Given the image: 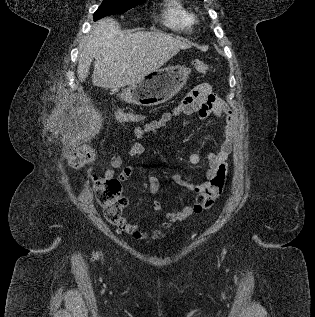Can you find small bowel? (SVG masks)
Instances as JSON below:
<instances>
[{
	"instance_id": "1",
	"label": "small bowel",
	"mask_w": 315,
	"mask_h": 317,
	"mask_svg": "<svg viewBox=\"0 0 315 317\" xmlns=\"http://www.w3.org/2000/svg\"><path fill=\"white\" fill-rule=\"evenodd\" d=\"M214 114L224 120L223 141L220 149L216 153H210L207 157L209 168L206 179L202 183H193L179 174L173 175V181L180 187L196 193L195 201L192 205L180 210L169 211L165 215V220L161 226L151 232L140 229L137 224L128 223L125 220L119 225L121 231L131 235L136 240L159 241L164 239L170 232L173 223L187 219L188 217L200 214L210 209L216 198L221 194L226 178L228 164L227 159L232 151L233 138L235 134V120L230 108L213 92L211 85L204 83L194 88L172 111L162 114L158 120L145 123L143 126L134 128V135L143 138L148 135L157 134L161 128L167 125L173 118L183 115H197L198 119L204 120L209 115ZM189 124V121H184ZM145 146L136 142L125 150L131 157L141 156L145 153ZM189 161L192 165H201L204 161L200 153L190 154ZM121 171L118 173V171ZM133 174L132 166H123L121 155H114L109 166L104 171L107 179H118L120 182L126 181ZM148 191L157 196L160 192V183L156 176L148 178ZM153 210L161 211L162 205L159 200L153 201Z\"/></svg>"
}]
</instances>
